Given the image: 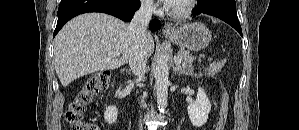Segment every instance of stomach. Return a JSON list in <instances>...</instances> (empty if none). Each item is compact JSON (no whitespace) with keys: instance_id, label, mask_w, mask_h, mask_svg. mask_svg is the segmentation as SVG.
Here are the masks:
<instances>
[{"instance_id":"stomach-1","label":"stomach","mask_w":299,"mask_h":130,"mask_svg":"<svg viewBox=\"0 0 299 130\" xmlns=\"http://www.w3.org/2000/svg\"><path fill=\"white\" fill-rule=\"evenodd\" d=\"M166 37L183 48L200 51L208 46L212 35L204 24L192 22L175 29L172 34H167Z\"/></svg>"}]
</instances>
